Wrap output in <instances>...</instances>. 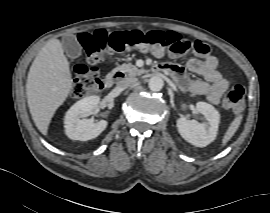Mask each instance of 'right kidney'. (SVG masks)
I'll return each instance as SVG.
<instances>
[{
  "mask_svg": "<svg viewBox=\"0 0 270 213\" xmlns=\"http://www.w3.org/2000/svg\"><path fill=\"white\" fill-rule=\"evenodd\" d=\"M100 101L98 96L85 97L76 102L64 118L65 134L72 140L87 141L99 136L107 127V121L94 122L86 119L96 108Z\"/></svg>",
  "mask_w": 270,
  "mask_h": 213,
  "instance_id": "obj_1",
  "label": "right kidney"
}]
</instances>
